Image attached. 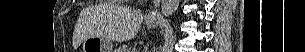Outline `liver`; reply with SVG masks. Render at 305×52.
<instances>
[{
	"label": "liver",
	"mask_w": 305,
	"mask_h": 52,
	"mask_svg": "<svg viewBox=\"0 0 305 52\" xmlns=\"http://www.w3.org/2000/svg\"><path fill=\"white\" fill-rule=\"evenodd\" d=\"M142 21L141 11L120 4H112L107 26L96 30L91 25L86 26L84 34L78 35L75 39L74 46L78 47L84 39L90 36H100L117 42L131 40L137 35Z\"/></svg>",
	"instance_id": "1"
}]
</instances>
